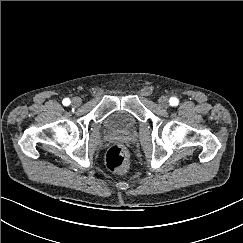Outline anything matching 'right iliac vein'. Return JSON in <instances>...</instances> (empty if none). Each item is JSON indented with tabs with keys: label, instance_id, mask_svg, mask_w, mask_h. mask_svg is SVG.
Here are the masks:
<instances>
[{
	"label": "right iliac vein",
	"instance_id": "1",
	"mask_svg": "<svg viewBox=\"0 0 243 243\" xmlns=\"http://www.w3.org/2000/svg\"><path fill=\"white\" fill-rule=\"evenodd\" d=\"M81 102H82V100H81V98L80 97H74L73 99H72V105L74 106V107H78V106H80V104H81Z\"/></svg>",
	"mask_w": 243,
	"mask_h": 243
}]
</instances>
